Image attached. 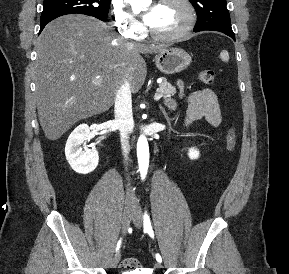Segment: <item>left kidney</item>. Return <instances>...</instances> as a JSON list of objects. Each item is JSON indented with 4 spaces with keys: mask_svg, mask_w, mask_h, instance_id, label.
<instances>
[{
    "mask_svg": "<svg viewBox=\"0 0 289 274\" xmlns=\"http://www.w3.org/2000/svg\"><path fill=\"white\" fill-rule=\"evenodd\" d=\"M188 156L190 159L195 160L199 157V151L197 149H189Z\"/></svg>",
    "mask_w": 289,
    "mask_h": 274,
    "instance_id": "obj_1",
    "label": "left kidney"
}]
</instances>
